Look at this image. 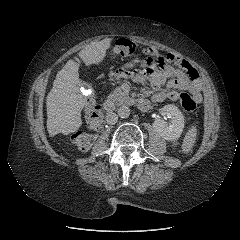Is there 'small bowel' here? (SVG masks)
I'll list each match as a JSON object with an SVG mask.
<instances>
[{
	"label": "small bowel",
	"mask_w": 240,
	"mask_h": 240,
	"mask_svg": "<svg viewBox=\"0 0 240 240\" xmlns=\"http://www.w3.org/2000/svg\"><path fill=\"white\" fill-rule=\"evenodd\" d=\"M146 58L141 62V69L132 74L136 81H148L155 90L152 101H177V91H188L199 102L201 100L200 82L197 71L184 59L172 54H161L157 49L148 47L143 50ZM115 76H128L121 70Z\"/></svg>",
	"instance_id": "obj_1"
}]
</instances>
